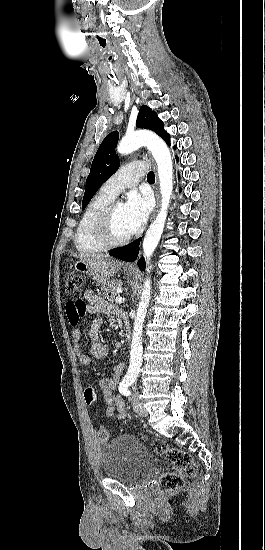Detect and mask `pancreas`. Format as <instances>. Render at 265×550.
Masks as SVG:
<instances>
[{
  "instance_id": "cf45deb5",
  "label": "pancreas",
  "mask_w": 265,
  "mask_h": 550,
  "mask_svg": "<svg viewBox=\"0 0 265 550\" xmlns=\"http://www.w3.org/2000/svg\"><path fill=\"white\" fill-rule=\"evenodd\" d=\"M122 286V282L120 280L113 279L111 281H108L105 283V285L102 286V291L108 300L112 301L118 294L117 289Z\"/></svg>"
}]
</instances>
